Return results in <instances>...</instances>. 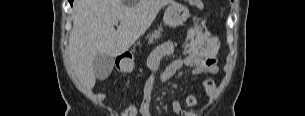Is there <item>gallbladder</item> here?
<instances>
[{"label": "gallbladder", "mask_w": 305, "mask_h": 116, "mask_svg": "<svg viewBox=\"0 0 305 116\" xmlns=\"http://www.w3.org/2000/svg\"><path fill=\"white\" fill-rule=\"evenodd\" d=\"M93 67L97 79L105 80L113 70L114 59L106 54L98 53L94 59Z\"/></svg>", "instance_id": "obj_1"}]
</instances>
